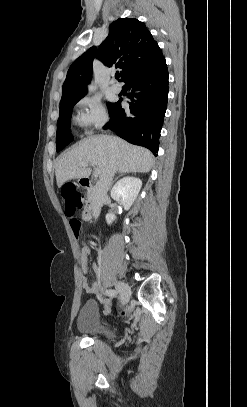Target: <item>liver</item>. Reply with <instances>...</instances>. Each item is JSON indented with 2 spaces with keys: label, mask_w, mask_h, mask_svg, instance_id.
I'll list each match as a JSON object with an SVG mask.
<instances>
[{
  "label": "liver",
  "mask_w": 247,
  "mask_h": 407,
  "mask_svg": "<svg viewBox=\"0 0 247 407\" xmlns=\"http://www.w3.org/2000/svg\"><path fill=\"white\" fill-rule=\"evenodd\" d=\"M112 161L120 173H147L153 167L154 157L149 150L118 137H90L61 156L55 169L57 185L61 187L68 180L89 177L91 170L87 166L91 164L100 170L101 177ZM81 163L87 166L82 167Z\"/></svg>",
  "instance_id": "obj_1"
}]
</instances>
